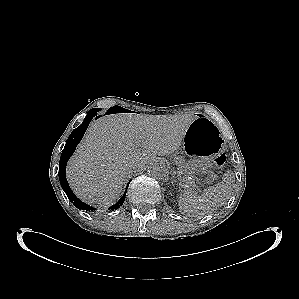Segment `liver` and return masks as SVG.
<instances>
[{
    "label": "liver",
    "instance_id": "6515ba94",
    "mask_svg": "<svg viewBox=\"0 0 299 299\" xmlns=\"http://www.w3.org/2000/svg\"><path fill=\"white\" fill-rule=\"evenodd\" d=\"M194 115L111 114L89 126L69 160L67 180L78 198L109 206L134 171L157 155L174 153Z\"/></svg>",
    "mask_w": 299,
    "mask_h": 299
}]
</instances>
